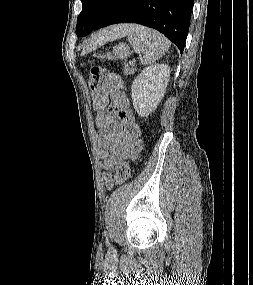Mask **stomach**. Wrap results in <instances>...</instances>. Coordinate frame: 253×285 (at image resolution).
<instances>
[{"label": "stomach", "instance_id": "stomach-1", "mask_svg": "<svg viewBox=\"0 0 253 285\" xmlns=\"http://www.w3.org/2000/svg\"><path fill=\"white\" fill-rule=\"evenodd\" d=\"M130 55H131L130 47L128 45L121 43L115 46L112 52L103 55L101 58L108 60H118V59L124 60L127 59Z\"/></svg>", "mask_w": 253, "mask_h": 285}]
</instances>
